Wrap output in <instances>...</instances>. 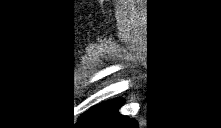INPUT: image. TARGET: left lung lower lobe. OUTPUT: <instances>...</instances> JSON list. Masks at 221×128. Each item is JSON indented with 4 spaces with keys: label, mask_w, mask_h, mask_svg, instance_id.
Masks as SVG:
<instances>
[{
    "label": "left lung lower lobe",
    "mask_w": 221,
    "mask_h": 128,
    "mask_svg": "<svg viewBox=\"0 0 221 128\" xmlns=\"http://www.w3.org/2000/svg\"><path fill=\"white\" fill-rule=\"evenodd\" d=\"M123 102L118 98L101 103L80 115L72 125L76 128H137L136 120L118 112Z\"/></svg>",
    "instance_id": "1"
}]
</instances>
